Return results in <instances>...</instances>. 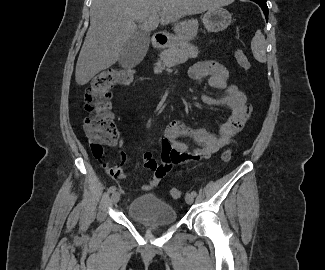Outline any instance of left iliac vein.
Listing matches in <instances>:
<instances>
[{
  "mask_svg": "<svg viewBox=\"0 0 325 270\" xmlns=\"http://www.w3.org/2000/svg\"><path fill=\"white\" fill-rule=\"evenodd\" d=\"M185 200L187 204H192L194 201V196L191 193H188L186 194Z\"/></svg>",
  "mask_w": 325,
  "mask_h": 270,
  "instance_id": "left-iliac-vein-1",
  "label": "left iliac vein"
}]
</instances>
